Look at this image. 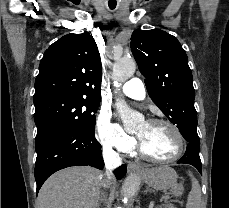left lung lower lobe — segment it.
Wrapping results in <instances>:
<instances>
[{"label":"left lung lower lobe","instance_id":"1","mask_svg":"<svg viewBox=\"0 0 229 208\" xmlns=\"http://www.w3.org/2000/svg\"><path fill=\"white\" fill-rule=\"evenodd\" d=\"M184 139L188 142L184 156L177 162L183 164H190L194 166L202 174V165L199 156V136L195 129L181 133Z\"/></svg>","mask_w":229,"mask_h":208}]
</instances>
